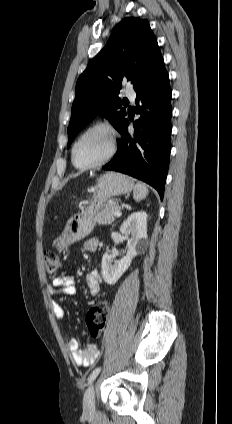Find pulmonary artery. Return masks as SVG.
Segmentation results:
<instances>
[{
  "instance_id": "pulmonary-artery-1",
  "label": "pulmonary artery",
  "mask_w": 232,
  "mask_h": 424,
  "mask_svg": "<svg viewBox=\"0 0 232 424\" xmlns=\"http://www.w3.org/2000/svg\"><path fill=\"white\" fill-rule=\"evenodd\" d=\"M126 95L131 99L134 100L135 99V91L131 88L126 89Z\"/></svg>"
}]
</instances>
